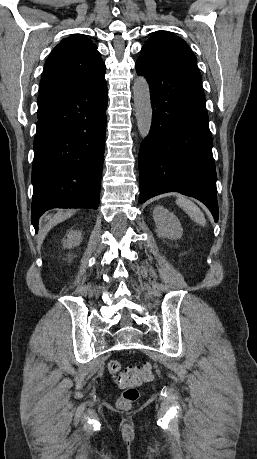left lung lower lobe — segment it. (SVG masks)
Segmentation results:
<instances>
[{
  "instance_id": "0a47b994",
  "label": "left lung lower lobe",
  "mask_w": 257,
  "mask_h": 459,
  "mask_svg": "<svg viewBox=\"0 0 257 459\" xmlns=\"http://www.w3.org/2000/svg\"><path fill=\"white\" fill-rule=\"evenodd\" d=\"M136 71L149 83L153 109L150 134L139 152V202L179 192L203 202L217 221L212 137L196 63L139 57Z\"/></svg>"
}]
</instances>
